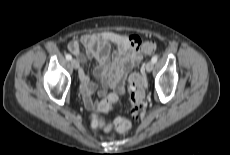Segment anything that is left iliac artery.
I'll use <instances>...</instances> for the list:
<instances>
[{"mask_svg": "<svg viewBox=\"0 0 230 155\" xmlns=\"http://www.w3.org/2000/svg\"><path fill=\"white\" fill-rule=\"evenodd\" d=\"M157 60H158V57H157L156 55L152 57V62H153V63H156Z\"/></svg>", "mask_w": 230, "mask_h": 155, "instance_id": "44dca946", "label": "left iliac artery"}]
</instances>
